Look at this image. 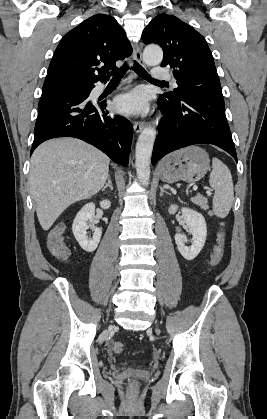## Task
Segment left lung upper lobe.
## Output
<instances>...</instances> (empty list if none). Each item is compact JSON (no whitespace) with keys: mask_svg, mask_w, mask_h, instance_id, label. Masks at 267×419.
I'll return each mask as SVG.
<instances>
[{"mask_svg":"<svg viewBox=\"0 0 267 419\" xmlns=\"http://www.w3.org/2000/svg\"><path fill=\"white\" fill-rule=\"evenodd\" d=\"M145 44H159L164 52L162 67L173 69L178 87L159 98L179 102L203 92L221 93V85L212 53L204 37L179 18L157 15L144 29Z\"/></svg>","mask_w":267,"mask_h":419,"instance_id":"5c2ea615","label":"left lung upper lobe"}]
</instances>
